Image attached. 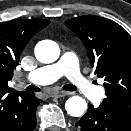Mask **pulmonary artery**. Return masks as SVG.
I'll use <instances>...</instances> for the list:
<instances>
[{
  "label": "pulmonary artery",
  "mask_w": 131,
  "mask_h": 131,
  "mask_svg": "<svg viewBox=\"0 0 131 131\" xmlns=\"http://www.w3.org/2000/svg\"><path fill=\"white\" fill-rule=\"evenodd\" d=\"M62 76H66L77 90L90 100H98L104 93L101 86L94 85L81 74L78 58L70 51L65 52L57 63L30 72L27 79L35 84H50Z\"/></svg>",
  "instance_id": "pulmonary-artery-1"
}]
</instances>
